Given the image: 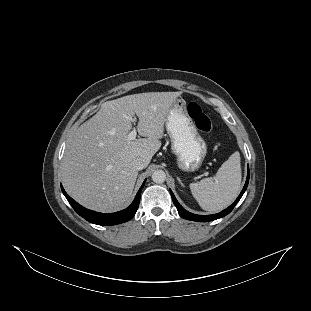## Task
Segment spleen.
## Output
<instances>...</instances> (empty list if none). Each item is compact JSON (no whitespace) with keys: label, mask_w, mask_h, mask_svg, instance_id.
<instances>
[{"label":"spleen","mask_w":311,"mask_h":311,"mask_svg":"<svg viewBox=\"0 0 311 311\" xmlns=\"http://www.w3.org/2000/svg\"><path fill=\"white\" fill-rule=\"evenodd\" d=\"M240 153L234 152L213 178L191 183L190 190L202 209L218 212L228 207L241 190Z\"/></svg>","instance_id":"obj_1"}]
</instances>
